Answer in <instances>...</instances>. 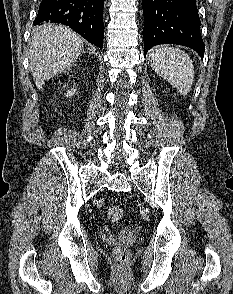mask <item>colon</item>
<instances>
[{"instance_id": "1", "label": "colon", "mask_w": 233, "mask_h": 294, "mask_svg": "<svg viewBox=\"0 0 233 294\" xmlns=\"http://www.w3.org/2000/svg\"><path fill=\"white\" fill-rule=\"evenodd\" d=\"M124 210L119 205H114L108 208L107 216L112 221H118L123 217ZM115 258L119 264L125 263L128 258V251L126 248L119 247L115 251Z\"/></svg>"}]
</instances>
